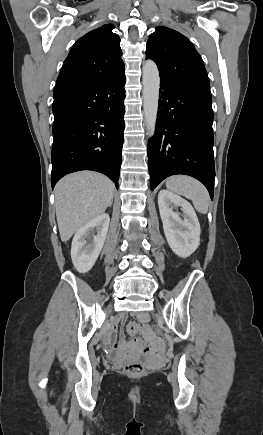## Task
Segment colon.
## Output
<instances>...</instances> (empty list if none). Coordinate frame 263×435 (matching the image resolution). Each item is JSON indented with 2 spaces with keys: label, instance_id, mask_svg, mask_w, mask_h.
Returning a JSON list of instances; mask_svg holds the SVG:
<instances>
[{
  "label": "colon",
  "instance_id": "1",
  "mask_svg": "<svg viewBox=\"0 0 263 435\" xmlns=\"http://www.w3.org/2000/svg\"><path fill=\"white\" fill-rule=\"evenodd\" d=\"M151 327L153 328L154 332H159L160 334H162V331L160 330V327H158L157 324H153ZM159 341H162L163 343L162 338ZM162 355H164L163 352ZM123 370L129 376L137 377L143 374V372L145 371V366L140 361H128L124 364Z\"/></svg>",
  "mask_w": 263,
  "mask_h": 435
}]
</instances>
